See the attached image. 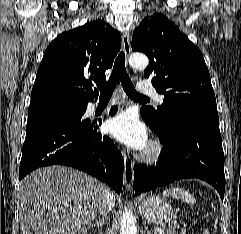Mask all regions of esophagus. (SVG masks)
<instances>
[{"label": "esophagus", "mask_w": 241, "mask_h": 234, "mask_svg": "<svg viewBox=\"0 0 241 234\" xmlns=\"http://www.w3.org/2000/svg\"><path fill=\"white\" fill-rule=\"evenodd\" d=\"M122 45L126 58L129 57L131 53V40L129 31L125 30L122 34ZM124 185L127 191H132V185L134 180V164L124 156Z\"/></svg>", "instance_id": "esophagus-1"}]
</instances>
